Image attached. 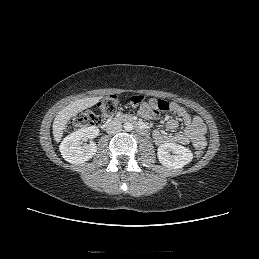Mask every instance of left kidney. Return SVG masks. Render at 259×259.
Here are the masks:
<instances>
[{"label":"left kidney","mask_w":259,"mask_h":259,"mask_svg":"<svg viewBox=\"0 0 259 259\" xmlns=\"http://www.w3.org/2000/svg\"><path fill=\"white\" fill-rule=\"evenodd\" d=\"M157 156L163 166L171 169L182 168L193 159V154L189 149L175 143L161 144L158 147Z\"/></svg>","instance_id":"obj_1"}]
</instances>
